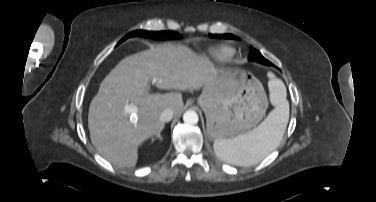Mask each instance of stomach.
Returning a JSON list of instances; mask_svg holds the SVG:
<instances>
[{"instance_id": "1", "label": "stomach", "mask_w": 376, "mask_h": 202, "mask_svg": "<svg viewBox=\"0 0 376 202\" xmlns=\"http://www.w3.org/2000/svg\"><path fill=\"white\" fill-rule=\"evenodd\" d=\"M197 102L206 115L207 134L215 140L249 131L264 117L268 105L258 79L236 68L217 69Z\"/></svg>"}]
</instances>
